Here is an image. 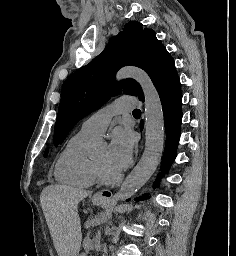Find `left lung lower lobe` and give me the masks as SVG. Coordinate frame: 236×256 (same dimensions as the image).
I'll use <instances>...</instances> for the list:
<instances>
[{
  "label": "left lung lower lobe",
  "mask_w": 236,
  "mask_h": 256,
  "mask_svg": "<svg viewBox=\"0 0 236 256\" xmlns=\"http://www.w3.org/2000/svg\"><path fill=\"white\" fill-rule=\"evenodd\" d=\"M156 89L160 96L165 132H166V143L163 155V161L161 164V171L167 173L170 165L176 157V149L180 138V125L182 120V95L180 88V80L176 70L171 71L167 74L157 85ZM144 101V96L140 98ZM140 129H143V123L140 124ZM159 174L158 177H162ZM156 183L155 187H157ZM148 198V194H145L136 199V201L144 200Z\"/></svg>",
  "instance_id": "0a47b994"
}]
</instances>
